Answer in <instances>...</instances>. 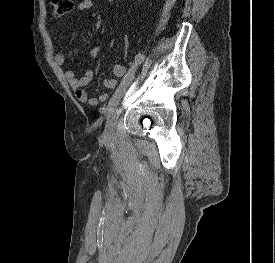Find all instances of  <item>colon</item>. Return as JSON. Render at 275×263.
<instances>
[{"mask_svg": "<svg viewBox=\"0 0 275 263\" xmlns=\"http://www.w3.org/2000/svg\"><path fill=\"white\" fill-rule=\"evenodd\" d=\"M50 6L55 16H63L72 11L74 0H50Z\"/></svg>", "mask_w": 275, "mask_h": 263, "instance_id": "5ec220e1", "label": "colon"}]
</instances>
